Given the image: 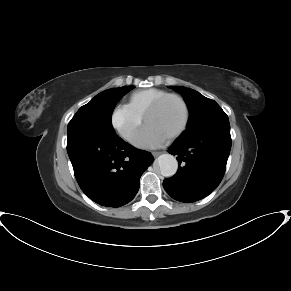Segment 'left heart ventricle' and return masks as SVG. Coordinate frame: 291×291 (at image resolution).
<instances>
[{
    "mask_svg": "<svg viewBox=\"0 0 291 291\" xmlns=\"http://www.w3.org/2000/svg\"><path fill=\"white\" fill-rule=\"evenodd\" d=\"M183 117L184 112L180 102L176 99H169L149 116L146 125L168 137L181 125Z\"/></svg>",
    "mask_w": 291,
    "mask_h": 291,
    "instance_id": "b2bd125f",
    "label": "left heart ventricle"
}]
</instances>
